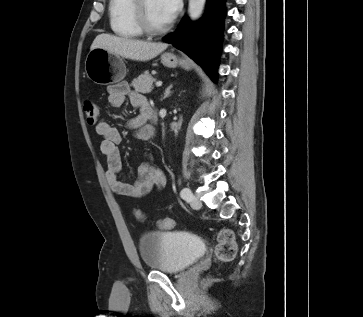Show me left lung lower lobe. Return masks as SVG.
<instances>
[{
	"label": "left lung lower lobe",
	"mask_w": 363,
	"mask_h": 317,
	"mask_svg": "<svg viewBox=\"0 0 363 317\" xmlns=\"http://www.w3.org/2000/svg\"><path fill=\"white\" fill-rule=\"evenodd\" d=\"M224 2L225 0H208L205 15L198 24H191L187 18H184L177 30L163 39L195 60L214 82L217 81L218 56L225 15Z\"/></svg>",
	"instance_id": "0a47b994"
}]
</instances>
